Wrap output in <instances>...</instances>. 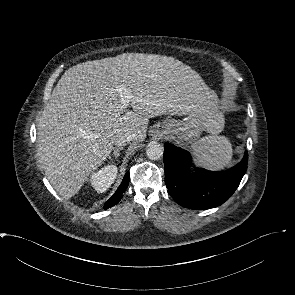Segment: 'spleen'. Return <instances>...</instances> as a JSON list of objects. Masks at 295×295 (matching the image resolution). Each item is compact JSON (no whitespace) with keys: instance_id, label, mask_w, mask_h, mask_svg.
<instances>
[{"instance_id":"spleen-1","label":"spleen","mask_w":295,"mask_h":295,"mask_svg":"<svg viewBox=\"0 0 295 295\" xmlns=\"http://www.w3.org/2000/svg\"><path fill=\"white\" fill-rule=\"evenodd\" d=\"M198 164L212 170H220L231 164L233 148L225 136H206L191 146Z\"/></svg>"}]
</instances>
